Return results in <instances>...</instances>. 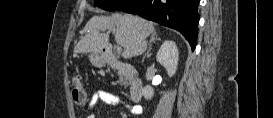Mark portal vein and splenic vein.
Segmentation results:
<instances>
[{
    "mask_svg": "<svg viewBox=\"0 0 273 118\" xmlns=\"http://www.w3.org/2000/svg\"><path fill=\"white\" fill-rule=\"evenodd\" d=\"M117 50H118V51H121V50H122V47H121V46H118V47H117Z\"/></svg>",
    "mask_w": 273,
    "mask_h": 118,
    "instance_id": "18ae733b",
    "label": "portal vein and splenic vein"
}]
</instances>
